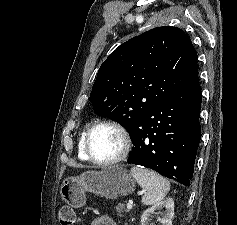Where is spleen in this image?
Here are the masks:
<instances>
[{"label":"spleen","instance_id":"spleen-1","mask_svg":"<svg viewBox=\"0 0 237 225\" xmlns=\"http://www.w3.org/2000/svg\"><path fill=\"white\" fill-rule=\"evenodd\" d=\"M131 175L145 191L144 205H154L162 201L170 189V182L163 176L143 167H132Z\"/></svg>","mask_w":237,"mask_h":225}]
</instances>
